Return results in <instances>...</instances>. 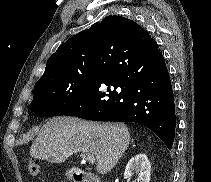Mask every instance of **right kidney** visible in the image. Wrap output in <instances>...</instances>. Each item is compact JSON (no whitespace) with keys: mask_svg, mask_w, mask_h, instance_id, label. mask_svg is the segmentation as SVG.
<instances>
[{"mask_svg":"<svg viewBox=\"0 0 211 182\" xmlns=\"http://www.w3.org/2000/svg\"><path fill=\"white\" fill-rule=\"evenodd\" d=\"M150 171L151 164L148 157L141 153L130 159L125 168L124 176L131 178L135 173L137 182H149Z\"/></svg>","mask_w":211,"mask_h":182,"instance_id":"right-kidney-1","label":"right kidney"}]
</instances>
